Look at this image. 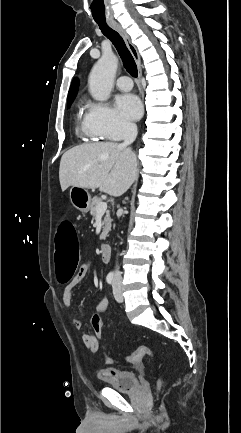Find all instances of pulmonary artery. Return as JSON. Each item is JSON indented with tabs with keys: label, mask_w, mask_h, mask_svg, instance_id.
Segmentation results:
<instances>
[{
	"label": "pulmonary artery",
	"mask_w": 241,
	"mask_h": 433,
	"mask_svg": "<svg viewBox=\"0 0 241 433\" xmlns=\"http://www.w3.org/2000/svg\"><path fill=\"white\" fill-rule=\"evenodd\" d=\"M116 86L123 91H128L132 88L133 83L131 81V79L126 76V75H122L121 77H119L116 81Z\"/></svg>",
	"instance_id": "pulmonary-artery-1"
}]
</instances>
